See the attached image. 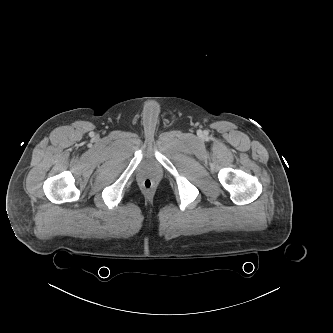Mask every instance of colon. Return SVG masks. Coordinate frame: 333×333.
I'll list each match as a JSON object with an SVG mask.
<instances>
[{
  "instance_id": "1",
  "label": "colon",
  "mask_w": 333,
  "mask_h": 333,
  "mask_svg": "<svg viewBox=\"0 0 333 333\" xmlns=\"http://www.w3.org/2000/svg\"><path fill=\"white\" fill-rule=\"evenodd\" d=\"M142 187L146 190H150L153 187V181L151 179H144L142 181Z\"/></svg>"
}]
</instances>
